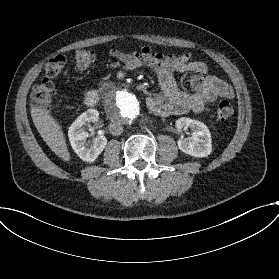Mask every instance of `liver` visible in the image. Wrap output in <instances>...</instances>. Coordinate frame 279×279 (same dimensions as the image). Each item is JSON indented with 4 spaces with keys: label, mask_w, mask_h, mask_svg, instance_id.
I'll return each mask as SVG.
<instances>
[{
    "label": "liver",
    "mask_w": 279,
    "mask_h": 279,
    "mask_svg": "<svg viewBox=\"0 0 279 279\" xmlns=\"http://www.w3.org/2000/svg\"><path fill=\"white\" fill-rule=\"evenodd\" d=\"M31 117L49 149L61 160L71 162V153L67 147L62 126L54 119L49 110L43 109L39 105H32Z\"/></svg>",
    "instance_id": "1"
}]
</instances>
